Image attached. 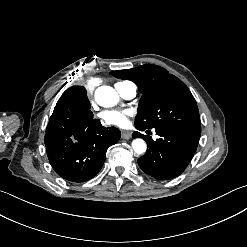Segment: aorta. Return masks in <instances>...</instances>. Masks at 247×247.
Listing matches in <instances>:
<instances>
[{
	"label": "aorta",
	"instance_id": "762f6f07",
	"mask_svg": "<svg viewBox=\"0 0 247 247\" xmlns=\"http://www.w3.org/2000/svg\"><path fill=\"white\" fill-rule=\"evenodd\" d=\"M95 100L102 107L115 106L119 100L118 93L110 86H100L95 91ZM132 148L136 154L146 151L147 145L141 138L132 141Z\"/></svg>",
	"mask_w": 247,
	"mask_h": 247
}]
</instances>
